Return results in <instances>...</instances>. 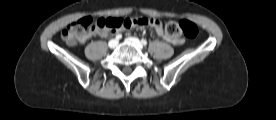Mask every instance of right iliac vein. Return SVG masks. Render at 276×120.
<instances>
[{"label":"right iliac vein","mask_w":276,"mask_h":120,"mask_svg":"<svg viewBox=\"0 0 276 120\" xmlns=\"http://www.w3.org/2000/svg\"><path fill=\"white\" fill-rule=\"evenodd\" d=\"M118 45V41L117 40H111L109 41L108 43V46L111 48V49H114L115 47H117Z\"/></svg>","instance_id":"1"}]
</instances>
